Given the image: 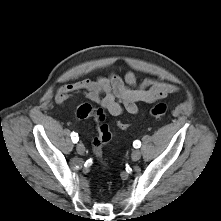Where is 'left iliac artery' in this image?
Masks as SVG:
<instances>
[{
	"mask_svg": "<svg viewBox=\"0 0 221 221\" xmlns=\"http://www.w3.org/2000/svg\"><path fill=\"white\" fill-rule=\"evenodd\" d=\"M133 146H134L135 148H140L141 142L138 141V140H136V141H134Z\"/></svg>",
	"mask_w": 221,
	"mask_h": 221,
	"instance_id": "44dca946",
	"label": "left iliac artery"
}]
</instances>
